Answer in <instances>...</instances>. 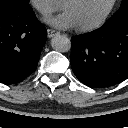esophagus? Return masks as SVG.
Masks as SVG:
<instances>
[{
  "label": "esophagus",
  "instance_id": "esophagus-1",
  "mask_svg": "<svg viewBox=\"0 0 128 128\" xmlns=\"http://www.w3.org/2000/svg\"><path fill=\"white\" fill-rule=\"evenodd\" d=\"M47 34H48V37L51 38L57 34H59V32L53 30V29H47Z\"/></svg>",
  "mask_w": 128,
  "mask_h": 128
}]
</instances>
